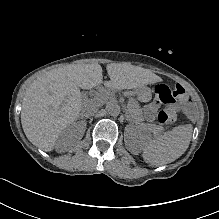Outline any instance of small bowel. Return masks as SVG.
<instances>
[{"label": "small bowel", "mask_w": 219, "mask_h": 219, "mask_svg": "<svg viewBox=\"0 0 219 219\" xmlns=\"http://www.w3.org/2000/svg\"><path fill=\"white\" fill-rule=\"evenodd\" d=\"M155 95V100L145 108V116L148 120L155 118L161 104H168L173 101L172 92L166 85H158L155 89ZM177 108L190 117L195 114V106L190 99L180 101Z\"/></svg>", "instance_id": "obj_1"}]
</instances>
